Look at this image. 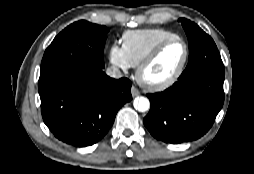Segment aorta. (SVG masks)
<instances>
[{"mask_svg":"<svg viewBox=\"0 0 254 174\" xmlns=\"http://www.w3.org/2000/svg\"><path fill=\"white\" fill-rule=\"evenodd\" d=\"M134 107L139 112H145L150 108V102L146 97H138L134 100Z\"/></svg>","mask_w":254,"mask_h":174,"instance_id":"1","label":"aorta"}]
</instances>
